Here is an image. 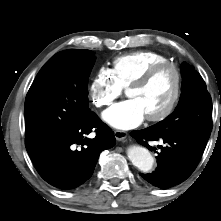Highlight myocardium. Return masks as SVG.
<instances>
[{
    "instance_id": "f54148a6",
    "label": "myocardium",
    "mask_w": 221,
    "mask_h": 221,
    "mask_svg": "<svg viewBox=\"0 0 221 221\" xmlns=\"http://www.w3.org/2000/svg\"><path fill=\"white\" fill-rule=\"evenodd\" d=\"M165 68H171L174 71L175 74L174 93L168 105L161 112L154 115L146 116V119L151 122H159L165 120L175 110L182 93L183 77L180 67L176 63L171 61H165L154 64L150 66L140 77H138L134 82H132L127 88V90H129L132 88H143L147 86L150 83V81L154 78V76Z\"/></svg>"
}]
</instances>
